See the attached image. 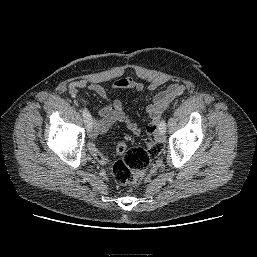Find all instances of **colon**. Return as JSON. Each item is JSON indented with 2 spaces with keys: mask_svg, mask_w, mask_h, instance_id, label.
Instances as JSON below:
<instances>
[{
  "mask_svg": "<svg viewBox=\"0 0 257 257\" xmlns=\"http://www.w3.org/2000/svg\"><path fill=\"white\" fill-rule=\"evenodd\" d=\"M156 124L151 123L147 126L148 133H154ZM161 147L159 143L148 140L144 148L131 147L128 148L125 142H120L116 146V152L120 155L112 168L114 181L119 186H134L139 184L150 165L153 158L160 154ZM91 153L98 160L102 161L103 156L94 147Z\"/></svg>",
  "mask_w": 257,
  "mask_h": 257,
  "instance_id": "obj_1",
  "label": "colon"
}]
</instances>
